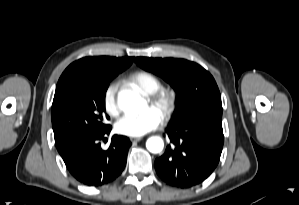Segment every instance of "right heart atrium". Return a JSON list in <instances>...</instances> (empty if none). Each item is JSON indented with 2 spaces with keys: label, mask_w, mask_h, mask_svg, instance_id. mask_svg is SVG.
Here are the masks:
<instances>
[{
  "label": "right heart atrium",
  "mask_w": 299,
  "mask_h": 205,
  "mask_svg": "<svg viewBox=\"0 0 299 205\" xmlns=\"http://www.w3.org/2000/svg\"><path fill=\"white\" fill-rule=\"evenodd\" d=\"M103 106L106 112L115 116L119 112V105L117 101V83H110L103 93Z\"/></svg>",
  "instance_id": "d8ad5b80"
}]
</instances>
